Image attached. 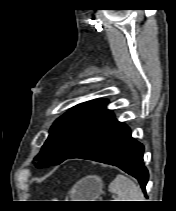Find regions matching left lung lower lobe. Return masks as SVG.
Returning a JSON list of instances; mask_svg holds the SVG:
<instances>
[{"label": "left lung lower lobe", "instance_id": "0a47b994", "mask_svg": "<svg viewBox=\"0 0 176 211\" xmlns=\"http://www.w3.org/2000/svg\"><path fill=\"white\" fill-rule=\"evenodd\" d=\"M143 151L144 146L132 138L130 128L113 118L68 159L81 158L117 166L138 179L145 193L149 174L143 164Z\"/></svg>", "mask_w": 176, "mask_h": 211}]
</instances>
